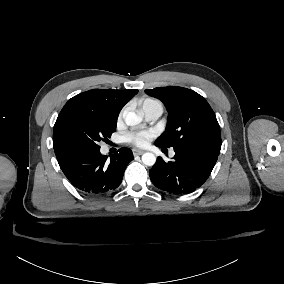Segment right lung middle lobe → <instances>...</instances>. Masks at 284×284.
Here are the masks:
<instances>
[{"label": "right lung middle lobe", "instance_id": "1", "mask_svg": "<svg viewBox=\"0 0 284 284\" xmlns=\"http://www.w3.org/2000/svg\"><path fill=\"white\" fill-rule=\"evenodd\" d=\"M117 118H110L95 108L72 103L65 105L54 125L53 134L66 153L100 149L98 142L116 130Z\"/></svg>", "mask_w": 284, "mask_h": 284}]
</instances>
